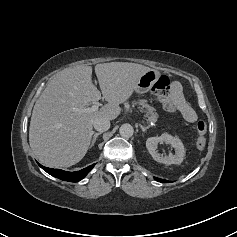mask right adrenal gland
<instances>
[{
  "instance_id": "2a0ac1e0",
  "label": "right adrenal gland",
  "mask_w": 237,
  "mask_h": 237,
  "mask_svg": "<svg viewBox=\"0 0 237 237\" xmlns=\"http://www.w3.org/2000/svg\"><path fill=\"white\" fill-rule=\"evenodd\" d=\"M101 134H102V132H95V133H94V136H93V139H92L90 148L94 146V144H95V142H96V140H97V137H98L99 135H101Z\"/></svg>"
}]
</instances>
